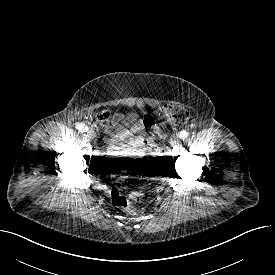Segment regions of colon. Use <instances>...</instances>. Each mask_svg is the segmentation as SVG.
<instances>
[{"instance_id":"obj_1","label":"colon","mask_w":275,"mask_h":275,"mask_svg":"<svg viewBox=\"0 0 275 275\" xmlns=\"http://www.w3.org/2000/svg\"><path fill=\"white\" fill-rule=\"evenodd\" d=\"M162 114L167 121L175 125H182L189 119L188 110L181 104L166 105L162 109ZM109 118V113L106 110H100L96 113V119L99 122L106 123ZM148 136L145 140V144L151 150L154 148L155 138L159 135V128L151 117H147L145 120ZM159 157L152 155L150 158L151 163H158ZM127 169L125 166H119L114 171V181L111 187L110 197L111 203L114 207L120 208L128 213H133L131 202H139L143 200L145 194L142 190L128 191L125 176Z\"/></svg>"}]
</instances>
